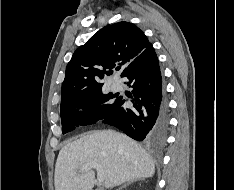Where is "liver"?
Returning <instances> with one entry per match:
<instances>
[{
	"label": "liver",
	"instance_id": "6515ba94",
	"mask_svg": "<svg viewBox=\"0 0 234 190\" xmlns=\"http://www.w3.org/2000/svg\"><path fill=\"white\" fill-rule=\"evenodd\" d=\"M89 163L99 164L107 188L155 173L153 160L133 139L113 130L94 131L60 150L55 166V190H92L94 171H81Z\"/></svg>",
	"mask_w": 234,
	"mask_h": 190
}]
</instances>
